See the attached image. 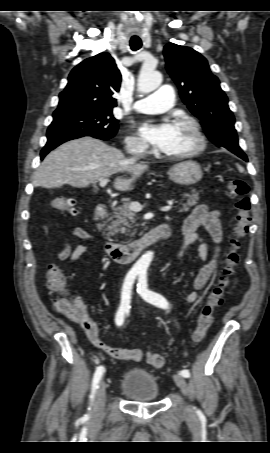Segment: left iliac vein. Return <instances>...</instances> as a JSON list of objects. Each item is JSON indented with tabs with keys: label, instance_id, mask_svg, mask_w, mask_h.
<instances>
[{
	"label": "left iliac vein",
	"instance_id": "4c4485c4",
	"mask_svg": "<svg viewBox=\"0 0 270 453\" xmlns=\"http://www.w3.org/2000/svg\"><path fill=\"white\" fill-rule=\"evenodd\" d=\"M173 380L174 382L176 383V385L180 388L181 392L186 395L187 394V383H186V380L184 379V377L182 375H179V374H174L173 375ZM184 410L186 412H189L190 411V407L185 404L184 405Z\"/></svg>",
	"mask_w": 270,
	"mask_h": 453
}]
</instances>
